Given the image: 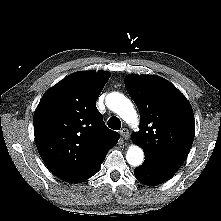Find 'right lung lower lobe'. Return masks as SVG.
Listing matches in <instances>:
<instances>
[{
	"mask_svg": "<svg viewBox=\"0 0 221 221\" xmlns=\"http://www.w3.org/2000/svg\"><path fill=\"white\" fill-rule=\"evenodd\" d=\"M103 161H101L96 167H94L86 176H84L82 179H80L78 182H82L90 177H92L93 175H95L97 173V171L99 170V168L101 167ZM77 182V183H78Z\"/></svg>",
	"mask_w": 221,
	"mask_h": 221,
	"instance_id": "right-lung-lower-lobe-1",
	"label": "right lung lower lobe"
}]
</instances>
